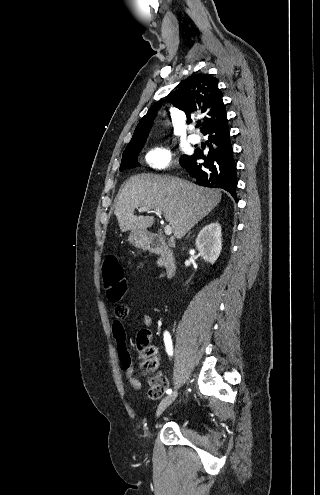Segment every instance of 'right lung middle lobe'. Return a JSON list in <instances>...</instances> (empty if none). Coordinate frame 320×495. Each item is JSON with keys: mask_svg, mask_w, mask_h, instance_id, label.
Instances as JSON below:
<instances>
[{"mask_svg": "<svg viewBox=\"0 0 320 495\" xmlns=\"http://www.w3.org/2000/svg\"><path fill=\"white\" fill-rule=\"evenodd\" d=\"M143 146L144 144L131 149H127L123 152L120 170L139 166V163L137 162V156L142 150ZM186 157L187 155H182L179 162H182Z\"/></svg>", "mask_w": 320, "mask_h": 495, "instance_id": "obj_1", "label": "right lung middle lobe"}]
</instances>
